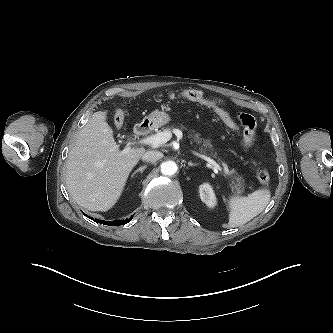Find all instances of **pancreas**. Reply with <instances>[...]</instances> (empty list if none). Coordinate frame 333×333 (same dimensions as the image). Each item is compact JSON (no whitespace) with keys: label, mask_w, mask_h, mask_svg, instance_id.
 <instances>
[{"label":"pancreas","mask_w":333,"mask_h":333,"mask_svg":"<svg viewBox=\"0 0 333 333\" xmlns=\"http://www.w3.org/2000/svg\"><path fill=\"white\" fill-rule=\"evenodd\" d=\"M172 129L169 127H166L163 129V131H171ZM192 142H196L198 145H201L199 148L202 152H206L207 150L213 154V148L212 144L209 140L201 139L198 134L191 135ZM213 156H216V153L213 154ZM224 164V162H222ZM225 175L228 178H231V182L229 184L231 190L235 194H241L244 191L245 181L243 177L237 175V173L234 170L225 171Z\"/></svg>","instance_id":"cf45deb5"}]
</instances>
